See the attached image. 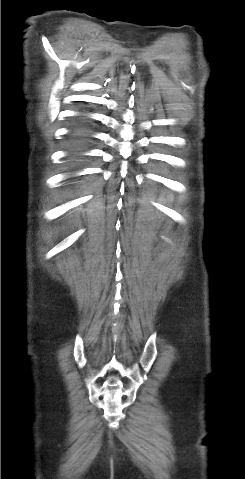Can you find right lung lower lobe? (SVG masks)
<instances>
[{
    "instance_id": "98d812e1",
    "label": "right lung lower lobe",
    "mask_w": 245,
    "mask_h": 479,
    "mask_svg": "<svg viewBox=\"0 0 245 479\" xmlns=\"http://www.w3.org/2000/svg\"><path fill=\"white\" fill-rule=\"evenodd\" d=\"M91 134L92 128L88 117L80 116L74 121L68 139L67 159L70 166L75 167L80 163L89 144Z\"/></svg>"
}]
</instances>
